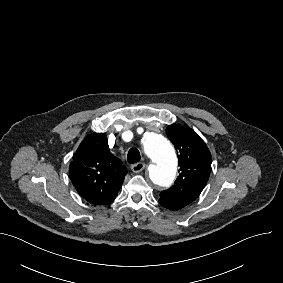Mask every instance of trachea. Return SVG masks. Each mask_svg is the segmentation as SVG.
I'll return each mask as SVG.
<instances>
[{
	"label": "trachea",
	"mask_w": 283,
	"mask_h": 283,
	"mask_svg": "<svg viewBox=\"0 0 283 283\" xmlns=\"http://www.w3.org/2000/svg\"><path fill=\"white\" fill-rule=\"evenodd\" d=\"M141 159L139 150L137 148H131L127 154L128 163L134 164L139 162Z\"/></svg>",
	"instance_id": "trachea-1"
}]
</instances>
